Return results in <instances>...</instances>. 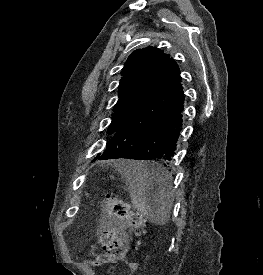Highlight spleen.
<instances>
[{
    "mask_svg": "<svg viewBox=\"0 0 263 275\" xmlns=\"http://www.w3.org/2000/svg\"><path fill=\"white\" fill-rule=\"evenodd\" d=\"M164 177L157 180L150 174ZM118 171L129 188L133 207L156 225H164L169 220L171 208L172 176L163 167L143 161L123 160L118 163ZM149 172V174H148ZM157 187V192L148 200L149 190ZM152 203V204H151Z\"/></svg>",
    "mask_w": 263,
    "mask_h": 275,
    "instance_id": "obj_1",
    "label": "spleen"
}]
</instances>
